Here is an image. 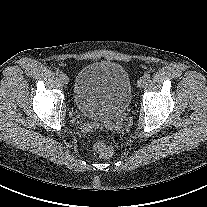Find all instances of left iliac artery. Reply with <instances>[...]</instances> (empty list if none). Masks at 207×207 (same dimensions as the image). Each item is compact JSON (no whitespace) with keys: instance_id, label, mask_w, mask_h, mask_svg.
I'll use <instances>...</instances> for the list:
<instances>
[{"instance_id":"44dca946","label":"left iliac artery","mask_w":207,"mask_h":207,"mask_svg":"<svg viewBox=\"0 0 207 207\" xmlns=\"http://www.w3.org/2000/svg\"><path fill=\"white\" fill-rule=\"evenodd\" d=\"M145 79H149L150 78V73L149 72H145L144 76Z\"/></svg>"}]
</instances>
